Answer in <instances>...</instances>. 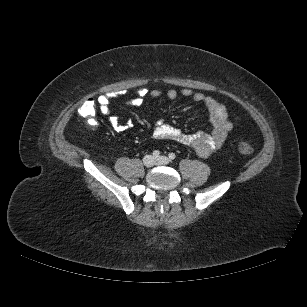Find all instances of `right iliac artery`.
<instances>
[{"label": "right iliac artery", "instance_id": "1", "mask_svg": "<svg viewBox=\"0 0 307 307\" xmlns=\"http://www.w3.org/2000/svg\"><path fill=\"white\" fill-rule=\"evenodd\" d=\"M152 155L154 158H158L160 156V152L158 150H154Z\"/></svg>", "mask_w": 307, "mask_h": 307}]
</instances>
